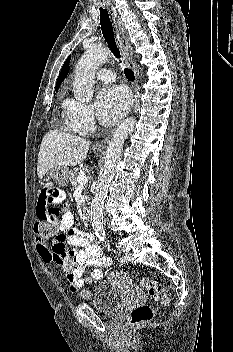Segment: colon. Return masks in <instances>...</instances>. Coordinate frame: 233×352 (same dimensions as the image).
<instances>
[{
    "label": "colon",
    "instance_id": "obj_1",
    "mask_svg": "<svg viewBox=\"0 0 233 352\" xmlns=\"http://www.w3.org/2000/svg\"><path fill=\"white\" fill-rule=\"evenodd\" d=\"M34 231L42 241L54 239L58 235L57 228L47 221H37L34 225ZM141 286L148 292L149 296L156 302L163 305L169 304V297L165 292V288L153 278H143L140 281ZM79 297L81 299H89L91 292L87 289H79ZM154 311L149 305H140L134 308L130 313V322L132 325L145 323L153 318Z\"/></svg>",
    "mask_w": 233,
    "mask_h": 352
}]
</instances>
